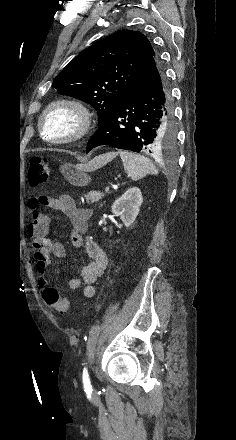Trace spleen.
I'll use <instances>...</instances> for the list:
<instances>
[{
	"instance_id": "3e777b00",
	"label": "spleen",
	"mask_w": 236,
	"mask_h": 440,
	"mask_svg": "<svg viewBox=\"0 0 236 440\" xmlns=\"http://www.w3.org/2000/svg\"><path fill=\"white\" fill-rule=\"evenodd\" d=\"M119 154L125 172L133 181L140 180L147 174L157 173L155 165L147 157L129 151H120Z\"/></svg>"
}]
</instances>
